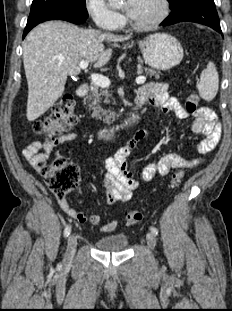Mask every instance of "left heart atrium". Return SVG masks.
I'll list each match as a JSON object with an SVG mask.
<instances>
[{
	"label": "left heart atrium",
	"mask_w": 232,
	"mask_h": 311,
	"mask_svg": "<svg viewBox=\"0 0 232 311\" xmlns=\"http://www.w3.org/2000/svg\"><path fill=\"white\" fill-rule=\"evenodd\" d=\"M140 1L141 0H128L127 1L126 12L130 17L136 13L138 6L140 4Z\"/></svg>",
	"instance_id": "39dd6f15"
}]
</instances>
